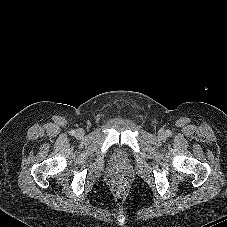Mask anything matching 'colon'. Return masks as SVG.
Segmentation results:
<instances>
[{"label": "colon", "mask_w": 227, "mask_h": 227, "mask_svg": "<svg viewBox=\"0 0 227 227\" xmlns=\"http://www.w3.org/2000/svg\"><path fill=\"white\" fill-rule=\"evenodd\" d=\"M109 188L116 199H123L129 193V179L122 173H117L109 179Z\"/></svg>", "instance_id": "5ec220e1"}]
</instances>
